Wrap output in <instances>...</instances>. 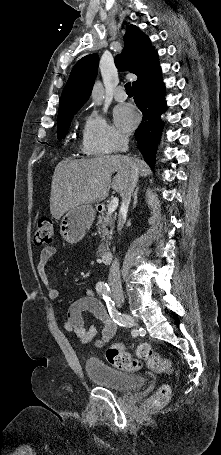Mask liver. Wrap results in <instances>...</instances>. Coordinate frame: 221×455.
I'll return each instance as SVG.
<instances>
[{"label": "liver", "instance_id": "6515ba94", "mask_svg": "<svg viewBox=\"0 0 221 455\" xmlns=\"http://www.w3.org/2000/svg\"><path fill=\"white\" fill-rule=\"evenodd\" d=\"M133 166L142 177L151 173L144 161L125 155L61 161L55 168L51 184L52 216L60 219L73 207L102 201L111 188L122 195Z\"/></svg>", "mask_w": 221, "mask_h": 455}]
</instances>
